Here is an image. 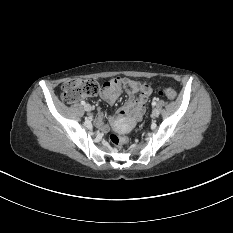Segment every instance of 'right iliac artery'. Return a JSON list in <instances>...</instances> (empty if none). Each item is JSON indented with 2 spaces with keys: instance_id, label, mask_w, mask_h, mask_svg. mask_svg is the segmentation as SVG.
I'll return each instance as SVG.
<instances>
[{
  "instance_id": "82829eb1",
  "label": "right iliac artery",
  "mask_w": 233,
  "mask_h": 233,
  "mask_svg": "<svg viewBox=\"0 0 233 233\" xmlns=\"http://www.w3.org/2000/svg\"><path fill=\"white\" fill-rule=\"evenodd\" d=\"M81 104H82V105H85V101H81Z\"/></svg>"
}]
</instances>
